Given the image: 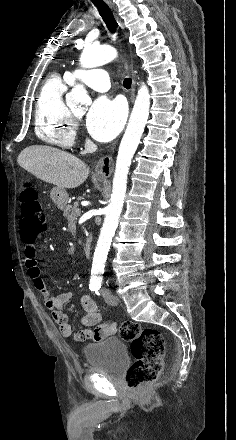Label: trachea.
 <instances>
[{
	"label": "trachea",
	"mask_w": 236,
	"mask_h": 440,
	"mask_svg": "<svg viewBox=\"0 0 236 440\" xmlns=\"http://www.w3.org/2000/svg\"><path fill=\"white\" fill-rule=\"evenodd\" d=\"M94 5L97 7L98 11L100 12V15L102 16L104 22L106 23V26L108 30L114 34L117 29V22L114 19L113 15L111 14L108 6L105 3H94ZM132 84L131 78H125L123 81V85L126 89H130Z\"/></svg>",
	"instance_id": "1"
}]
</instances>
